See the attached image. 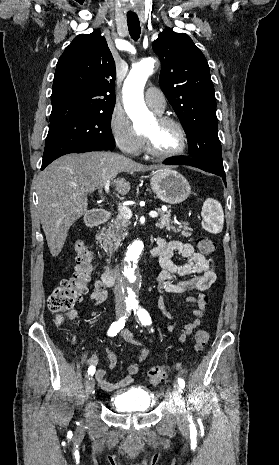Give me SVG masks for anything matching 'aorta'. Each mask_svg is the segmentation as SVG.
Listing matches in <instances>:
<instances>
[{
	"label": "aorta",
	"instance_id": "obj_1",
	"mask_svg": "<svg viewBox=\"0 0 279 465\" xmlns=\"http://www.w3.org/2000/svg\"><path fill=\"white\" fill-rule=\"evenodd\" d=\"M154 60L149 58L133 65L123 85V103L135 129L143 128L151 118L144 102L143 91L148 77L152 74ZM143 242L135 240L125 254L123 281L127 286L129 299L136 300L138 286L137 263L143 250Z\"/></svg>",
	"mask_w": 279,
	"mask_h": 465
}]
</instances>
